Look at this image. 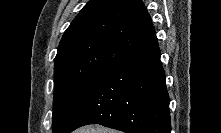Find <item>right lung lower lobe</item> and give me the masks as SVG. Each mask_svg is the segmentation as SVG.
I'll list each match as a JSON object with an SVG mask.
<instances>
[{"label":"right lung lower lobe","mask_w":221,"mask_h":133,"mask_svg":"<svg viewBox=\"0 0 221 133\" xmlns=\"http://www.w3.org/2000/svg\"><path fill=\"white\" fill-rule=\"evenodd\" d=\"M87 124L126 133H170L169 95L158 45L107 68L65 133Z\"/></svg>","instance_id":"right-lung-lower-lobe-1"}]
</instances>
